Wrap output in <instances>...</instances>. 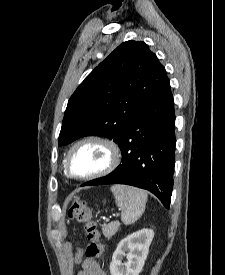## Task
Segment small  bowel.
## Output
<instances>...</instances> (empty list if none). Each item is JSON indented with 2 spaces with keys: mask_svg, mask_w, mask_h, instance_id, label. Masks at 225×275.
Listing matches in <instances>:
<instances>
[{
  "mask_svg": "<svg viewBox=\"0 0 225 275\" xmlns=\"http://www.w3.org/2000/svg\"><path fill=\"white\" fill-rule=\"evenodd\" d=\"M77 275H106V273L94 260L86 259Z\"/></svg>",
  "mask_w": 225,
  "mask_h": 275,
  "instance_id": "obj_1",
  "label": "small bowel"
}]
</instances>
